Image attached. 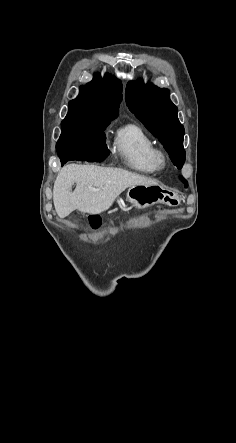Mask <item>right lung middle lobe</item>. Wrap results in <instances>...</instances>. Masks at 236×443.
<instances>
[{"instance_id":"right-lung-middle-lobe-1","label":"right lung middle lobe","mask_w":236,"mask_h":443,"mask_svg":"<svg viewBox=\"0 0 236 443\" xmlns=\"http://www.w3.org/2000/svg\"><path fill=\"white\" fill-rule=\"evenodd\" d=\"M114 118L109 115L68 113L61 123L62 133L56 144V150L80 145L106 146L104 130Z\"/></svg>"}]
</instances>
